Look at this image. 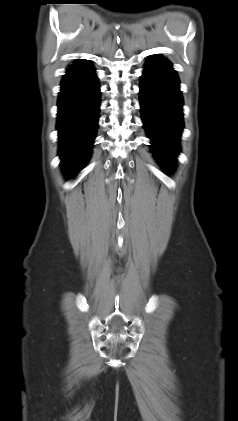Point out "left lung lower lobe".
<instances>
[{"mask_svg":"<svg viewBox=\"0 0 238 421\" xmlns=\"http://www.w3.org/2000/svg\"><path fill=\"white\" fill-rule=\"evenodd\" d=\"M140 105L152 151L157 160L170 169L180 151L183 99L178 76L162 56H153L145 64L140 79Z\"/></svg>","mask_w":238,"mask_h":421,"instance_id":"1","label":"left lung lower lobe"}]
</instances>
